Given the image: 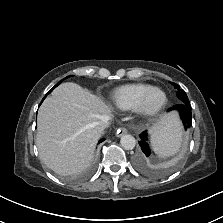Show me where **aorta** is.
I'll return each mask as SVG.
<instances>
[{"mask_svg":"<svg viewBox=\"0 0 223 223\" xmlns=\"http://www.w3.org/2000/svg\"><path fill=\"white\" fill-rule=\"evenodd\" d=\"M120 143L124 149L131 150L135 147L136 140L132 135L126 134L121 137Z\"/></svg>","mask_w":223,"mask_h":223,"instance_id":"1","label":"aorta"}]
</instances>
